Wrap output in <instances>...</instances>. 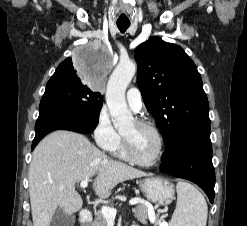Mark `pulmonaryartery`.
I'll return each instance as SVG.
<instances>
[{"instance_id":"pulmonary-artery-1","label":"pulmonary artery","mask_w":247,"mask_h":226,"mask_svg":"<svg viewBox=\"0 0 247 226\" xmlns=\"http://www.w3.org/2000/svg\"><path fill=\"white\" fill-rule=\"evenodd\" d=\"M128 105L134 112H139L142 108V96L138 88L132 87L126 93Z\"/></svg>"}]
</instances>
